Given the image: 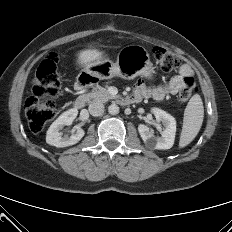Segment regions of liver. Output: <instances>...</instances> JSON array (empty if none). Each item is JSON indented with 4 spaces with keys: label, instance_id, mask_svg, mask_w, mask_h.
Listing matches in <instances>:
<instances>
[{
    "label": "liver",
    "instance_id": "6515ba94",
    "mask_svg": "<svg viewBox=\"0 0 232 232\" xmlns=\"http://www.w3.org/2000/svg\"><path fill=\"white\" fill-rule=\"evenodd\" d=\"M103 52L98 49H85L77 54V64L81 67H88L94 63L104 60Z\"/></svg>",
    "mask_w": 232,
    "mask_h": 232
}]
</instances>
